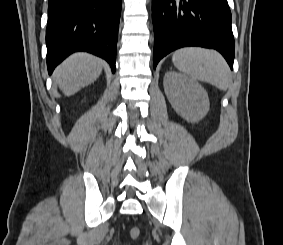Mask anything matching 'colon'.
<instances>
[{
  "mask_svg": "<svg viewBox=\"0 0 283 245\" xmlns=\"http://www.w3.org/2000/svg\"><path fill=\"white\" fill-rule=\"evenodd\" d=\"M140 235V229L139 227H133L131 230H130V237L132 239H137Z\"/></svg>",
  "mask_w": 283,
  "mask_h": 245,
  "instance_id": "obj_1",
  "label": "colon"
}]
</instances>
